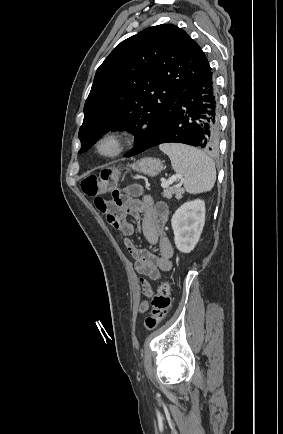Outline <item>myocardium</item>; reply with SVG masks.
Masks as SVG:
<instances>
[{"label": "myocardium", "mask_w": 283, "mask_h": 434, "mask_svg": "<svg viewBox=\"0 0 283 434\" xmlns=\"http://www.w3.org/2000/svg\"><path fill=\"white\" fill-rule=\"evenodd\" d=\"M126 135L121 130H108L102 133L94 144L96 153L104 158H114L120 155L126 146Z\"/></svg>", "instance_id": "obj_1"}]
</instances>
